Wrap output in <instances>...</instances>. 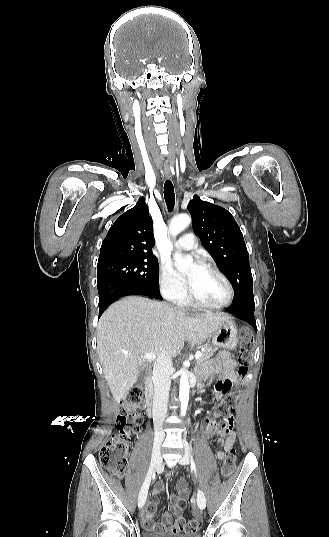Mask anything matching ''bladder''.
Wrapping results in <instances>:
<instances>
[{
    "label": "bladder",
    "mask_w": 329,
    "mask_h": 537,
    "mask_svg": "<svg viewBox=\"0 0 329 537\" xmlns=\"http://www.w3.org/2000/svg\"><path fill=\"white\" fill-rule=\"evenodd\" d=\"M142 537H200V535L197 532L172 535L166 533H156L153 531L146 530L143 532Z\"/></svg>",
    "instance_id": "1"
}]
</instances>
